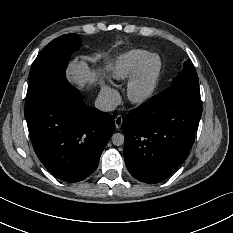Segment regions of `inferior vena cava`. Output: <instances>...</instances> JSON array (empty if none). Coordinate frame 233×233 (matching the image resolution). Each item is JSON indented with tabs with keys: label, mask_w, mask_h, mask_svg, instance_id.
Instances as JSON below:
<instances>
[{
	"label": "inferior vena cava",
	"mask_w": 233,
	"mask_h": 233,
	"mask_svg": "<svg viewBox=\"0 0 233 233\" xmlns=\"http://www.w3.org/2000/svg\"><path fill=\"white\" fill-rule=\"evenodd\" d=\"M94 107L100 111H112L115 108V104L107 97L98 96L95 100Z\"/></svg>",
	"instance_id": "obj_1"
}]
</instances>
